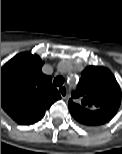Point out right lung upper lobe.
<instances>
[{
	"label": "right lung upper lobe",
	"instance_id": "right-lung-upper-lobe-1",
	"mask_svg": "<svg viewBox=\"0 0 122 154\" xmlns=\"http://www.w3.org/2000/svg\"><path fill=\"white\" fill-rule=\"evenodd\" d=\"M43 64L39 56L25 52L1 68V106L19 124L39 121L61 98L51 77L42 73Z\"/></svg>",
	"mask_w": 122,
	"mask_h": 154
}]
</instances>
